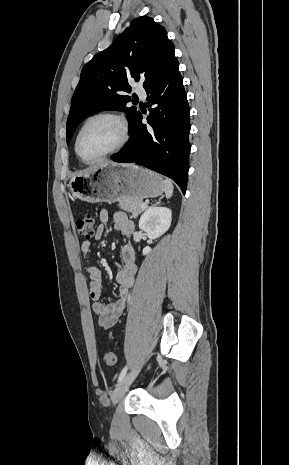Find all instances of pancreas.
I'll use <instances>...</instances> for the list:
<instances>
[{
	"mask_svg": "<svg viewBox=\"0 0 289 465\" xmlns=\"http://www.w3.org/2000/svg\"><path fill=\"white\" fill-rule=\"evenodd\" d=\"M143 201L141 199L125 198L119 201L118 206L127 212H131L132 216L136 218L143 212Z\"/></svg>",
	"mask_w": 289,
	"mask_h": 465,
	"instance_id": "1",
	"label": "pancreas"
}]
</instances>
